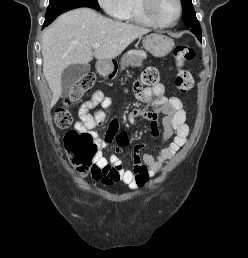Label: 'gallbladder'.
Returning <instances> with one entry per match:
<instances>
[{
  "label": "gallbladder",
  "instance_id": "obj_1",
  "mask_svg": "<svg viewBox=\"0 0 248 258\" xmlns=\"http://www.w3.org/2000/svg\"><path fill=\"white\" fill-rule=\"evenodd\" d=\"M89 64H71L61 74L62 97H67L74 85L90 71Z\"/></svg>",
  "mask_w": 248,
  "mask_h": 258
}]
</instances>
